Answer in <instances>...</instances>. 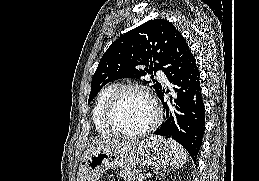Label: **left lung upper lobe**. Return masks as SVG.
<instances>
[{"label":"left lung upper lobe","mask_w":259,"mask_h":181,"mask_svg":"<svg viewBox=\"0 0 259 181\" xmlns=\"http://www.w3.org/2000/svg\"><path fill=\"white\" fill-rule=\"evenodd\" d=\"M180 36L173 24L164 19L150 20L121 36L99 62L88 103L108 82L121 78L139 79L153 71H165L173 43ZM152 88L159 93L162 86L156 82Z\"/></svg>","instance_id":"1"}]
</instances>
